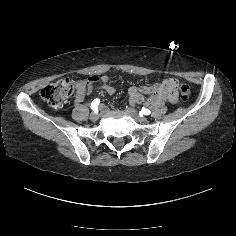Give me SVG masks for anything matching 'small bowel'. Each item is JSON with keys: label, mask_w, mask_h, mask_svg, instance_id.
<instances>
[{"label": "small bowel", "mask_w": 236, "mask_h": 236, "mask_svg": "<svg viewBox=\"0 0 236 236\" xmlns=\"http://www.w3.org/2000/svg\"><path fill=\"white\" fill-rule=\"evenodd\" d=\"M96 82H100L101 86L110 94L114 93L115 89L108 85V77L102 76V77H92L89 79L88 83L85 85V87L80 90L76 95V102H81L83 100L85 92L90 93L93 90V84ZM171 84H174V81H170ZM145 90V88H143ZM133 102H138L140 100V92L137 88L132 87L129 91Z\"/></svg>", "instance_id": "1"}]
</instances>
